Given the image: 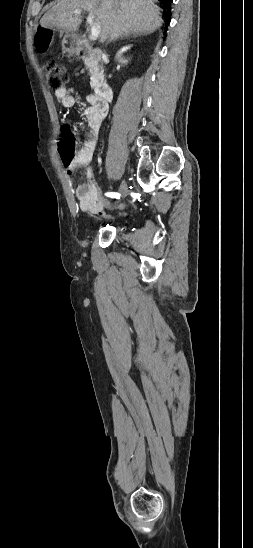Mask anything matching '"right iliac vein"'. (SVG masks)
I'll list each match as a JSON object with an SVG mask.
<instances>
[{"label": "right iliac vein", "instance_id": "obj_1", "mask_svg": "<svg viewBox=\"0 0 253 548\" xmlns=\"http://www.w3.org/2000/svg\"><path fill=\"white\" fill-rule=\"evenodd\" d=\"M119 191H120V195H121L122 198H125V197L127 196V194H128V189H127V184H126V181H125V180H123V181L121 182Z\"/></svg>", "mask_w": 253, "mask_h": 548}]
</instances>
